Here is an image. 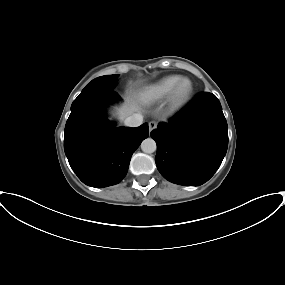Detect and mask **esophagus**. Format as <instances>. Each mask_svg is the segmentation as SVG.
I'll return each instance as SVG.
<instances>
[{
    "label": "esophagus",
    "instance_id": "obj_1",
    "mask_svg": "<svg viewBox=\"0 0 285 285\" xmlns=\"http://www.w3.org/2000/svg\"><path fill=\"white\" fill-rule=\"evenodd\" d=\"M156 127H157V122H155V121L149 122V132L154 130Z\"/></svg>",
    "mask_w": 285,
    "mask_h": 285
}]
</instances>
